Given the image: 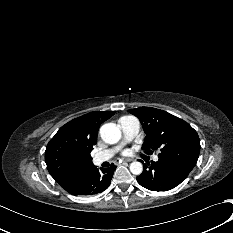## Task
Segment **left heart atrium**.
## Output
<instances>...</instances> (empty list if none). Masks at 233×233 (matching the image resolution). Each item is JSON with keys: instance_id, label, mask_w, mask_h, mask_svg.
<instances>
[{"instance_id": "obj_1", "label": "left heart atrium", "mask_w": 233, "mask_h": 233, "mask_svg": "<svg viewBox=\"0 0 233 233\" xmlns=\"http://www.w3.org/2000/svg\"><path fill=\"white\" fill-rule=\"evenodd\" d=\"M129 153H130L129 151H125V152H124L125 155H128Z\"/></svg>"}]
</instances>
